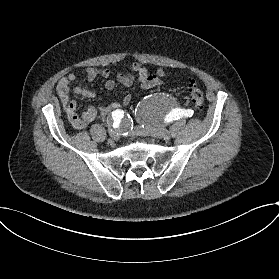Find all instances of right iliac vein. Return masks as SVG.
I'll use <instances>...</instances> for the list:
<instances>
[{"label":"right iliac vein","mask_w":279,"mask_h":279,"mask_svg":"<svg viewBox=\"0 0 279 279\" xmlns=\"http://www.w3.org/2000/svg\"><path fill=\"white\" fill-rule=\"evenodd\" d=\"M109 135H110V137L113 138L114 140H116L117 137H118V133H117V131L114 130V129H111V130L109 131Z\"/></svg>","instance_id":"right-iliac-vein-1"}]
</instances>
